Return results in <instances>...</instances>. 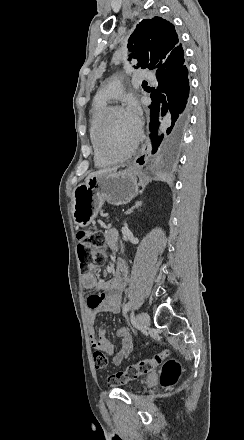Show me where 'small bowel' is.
<instances>
[{
    "instance_id": "1",
    "label": "small bowel",
    "mask_w": 244,
    "mask_h": 440,
    "mask_svg": "<svg viewBox=\"0 0 244 440\" xmlns=\"http://www.w3.org/2000/svg\"><path fill=\"white\" fill-rule=\"evenodd\" d=\"M106 244L111 249H117L120 242L119 233L114 228H108L104 232ZM128 272L123 260L116 262L113 276L109 280H99L93 274H83V286L92 291L87 298V321L90 345L93 349L101 350L113 357L116 365L121 364L134 351V341L126 326L117 329L116 334L120 338L119 350L106 338L105 329L100 327L98 334L94 327L95 318L98 314L109 312L117 313L120 310L121 301L127 284Z\"/></svg>"
}]
</instances>
